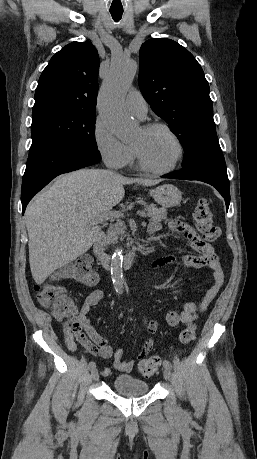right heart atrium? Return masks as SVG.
Instances as JSON below:
<instances>
[{
  "label": "right heart atrium",
  "mask_w": 257,
  "mask_h": 459,
  "mask_svg": "<svg viewBox=\"0 0 257 459\" xmlns=\"http://www.w3.org/2000/svg\"><path fill=\"white\" fill-rule=\"evenodd\" d=\"M93 137L99 155L108 166L121 169L130 163L132 147L118 139L101 119L95 122Z\"/></svg>",
  "instance_id": "obj_1"
}]
</instances>
